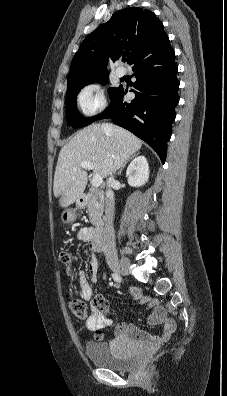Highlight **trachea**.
I'll use <instances>...</instances> for the list:
<instances>
[{
    "label": "trachea",
    "instance_id": "obj_1",
    "mask_svg": "<svg viewBox=\"0 0 227 396\" xmlns=\"http://www.w3.org/2000/svg\"><path fill=\"white\" fill-rule=\"evenodd\" d=\"M122 61L125 62V61H126V58H123Z\"/></svg>",
    "mask_w": 227,
    "mask_h": 396
}]
</instances>
